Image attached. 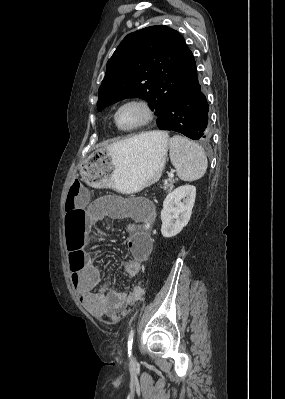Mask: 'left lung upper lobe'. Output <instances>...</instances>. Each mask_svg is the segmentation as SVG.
<instances>
[{"mask_svg":"<svg viewBox=\"0 0 285 399\" xmlns=\"http://www.w3.org/2000/svg\"><path fill=\"white\" fill-rule=\"evenodd\" d=\"M195 72L193 54L179 32L163 25L135 31L123 39L107 62L97 110L139 97L155 111L161 127L175 90Z\"/></svg>","mask_w":285,"mask_h":399,"instance_id":"obj_1","label":"left lung upper lobe"}]
</instances>
